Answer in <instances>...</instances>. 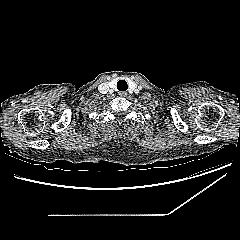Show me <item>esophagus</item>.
Segmentation results:
<instances>
[{"mask_svg": "<svg viewBox=\"0 0 240 240\" xmlns=\"http://www.w3.org/2000/svg\"><path fill=\"white\" fill-rule=\"evenodd\" d=\"M126 94H127L126 92H120L119 93L120 96H126Z\"/></svg>", "mask_w": 240, "mask_h": 240, "instance_id": "34e87169", "label": "esophagus"}]
</instances>
